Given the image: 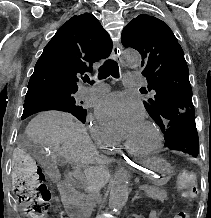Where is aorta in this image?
I'll return each instance as SVG.
<instances>
[{
    "mask_svg": "<svg viewBox=\"0 0 211 218\" xmlns=\"http://www.w3.org/2000/svg\"><path fill=\"white\" fill-rule=\"evenodd\" d=\"M124 60L131 67H138L141 63V56L137 51L127 50L124 52ZM129 190V175L126 170L119 169L113 179L109 195V208L112 210L121 209L127 199Z\"/></svg>",
    "mask_w": 211,
    "mask_h": 218,
    "instance_id": "aorta-1",
    "label": "aorta"
}]
</instances>
